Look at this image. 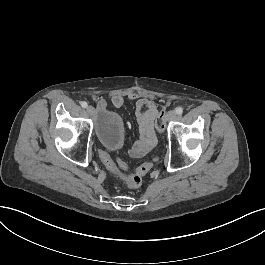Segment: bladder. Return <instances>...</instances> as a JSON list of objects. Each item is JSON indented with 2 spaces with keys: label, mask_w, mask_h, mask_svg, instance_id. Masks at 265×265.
<instances>
[{
  "label": "bladder",
  "mask_w": 265,
  "mask_h": 265,
  "mask_svg": "<svg viewBox=\"0 0 265 265\" xmlns=\"http://www.w3.org/2000/svg\"><path fill=\"white\" fill-rule=\"evenodd\" d=\"M96 135L105 148L120 149L125 141V124L121 115L110 110L100 112L96 123Z\"/></svg>",
  "instance_id": "bladder-1"
}]
</instances>
